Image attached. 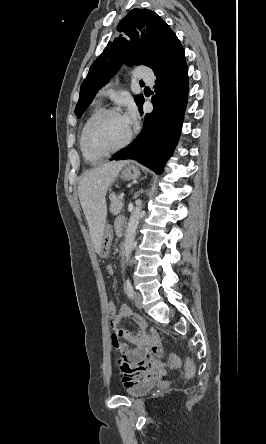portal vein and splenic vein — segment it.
Masks as SVG:
<instances>
[{"label":"portal vein and splenic vein","instance_id":"portal-vein-and-splenic-vein-1","mask_svg":"<svg viewBox=\"0 0 266 444\" xmlns=\"http://www.w3.org/2000/svg\"><path fill=\"white\" fill-rule=\"evenodd\" d=\"M124 198V193H122L121 195H120V199H123Z\"/></svg>","mask_w":266,"mask_h":444}]
</instances>
